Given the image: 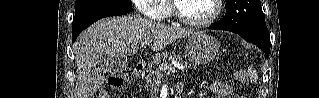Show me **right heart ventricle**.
<instances>
[{
  "instance_id": "obj_1",
  "label": "right heart ventricle",
  "mask_w": 319,
  "mask_h": 98,
  "mask_svg": "<svg viewBox=\"0 0 319 98\" xmlns=\"http://www.w3.org/2000/svg\"><path fill=\"white\" fill-rule=\"evenodd\" d=\"M164 5V7H165V9H166V11L168 10V6H167V4H163Z\"/></svg>"
}]
</instances>
